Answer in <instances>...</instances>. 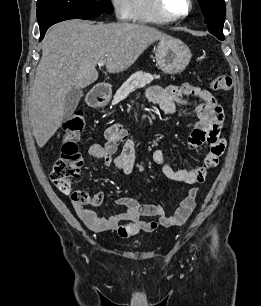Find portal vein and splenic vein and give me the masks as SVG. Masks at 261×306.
<instances>
[{
	"instance_id": "portal-vein-and-splenic-vein-1",
	"label": "portal vein and splenic vein",
	"mask_w": 261,
	"mask_h": 306,
	"mask_svg": "<svg viewBox=\"0 0 261 306\" xmlns=\"http://www.w3.org/2000/svg\"><path fill=\"white\" fill-rule=\"evenodd\" d=\"M98 65H99V67H103L105 65V60L104 59H100L98 61Z\"/></svg>"
}]
</instances>
